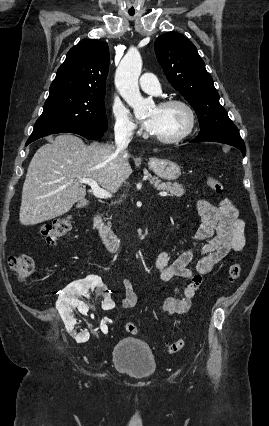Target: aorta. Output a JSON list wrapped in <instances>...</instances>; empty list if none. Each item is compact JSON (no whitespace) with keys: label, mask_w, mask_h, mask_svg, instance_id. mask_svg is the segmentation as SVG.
<instances>
[{"label":"aorta","mask_w":269,"mask_h":426,"mask_svg":"<svg viewBox=\"0 0 269 426\" xmlns=\"http://www.w3.org/2000/svg\"><path fill=\"white\" fill-rule=\"evenodd\" d=\"M141 69V56L137 51L132 50L124 56L115 75L116 87L124 100L132 107L136 118L146 115L153 105L152 100L144 99L139 91L138 79Z\"/></svg>","instance_id":"aorta-1"}]
</instances>
